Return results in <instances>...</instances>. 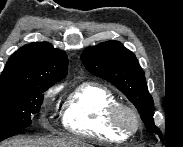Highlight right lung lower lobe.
<instances>
[{
  "instance_id": "obj_1",
  "label": "right lung lower lobe",
  "mask_w": 183,
  "mask_h": 147,
  "mask_svg": "<svg viewBox=\"0 0 183 147\" xmlns=\"http://www.w3.org/2000/svg\"><path fill=\"white\" fill-rule=\"evenodd\" d=\"M24 132L23 131H19L17 134H23ZM16 135V134H15Z\"/></svg>"
}]
</instances>
